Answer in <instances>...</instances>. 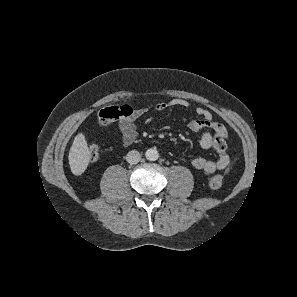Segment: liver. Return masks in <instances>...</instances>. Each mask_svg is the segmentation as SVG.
<instances>
[{
	"label": "liver",
	"instance_id": "1",
	"mask_svg": "<svg viewBox=\"0 0 297 297\" xmlns=\"http://www.w3.org/2000/svg\"><path fill=\"white\" fill-rule=\"evenodd\" d=\"M90 156L84 134H77L69 151V165L74 175H81L86 170Z\"/></svg>",
	"mask_w": 297,
	"mask_h": 297
}]
</instances>
